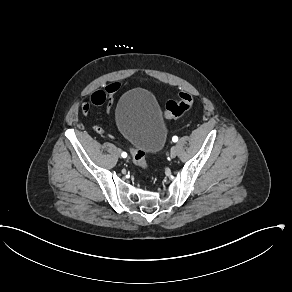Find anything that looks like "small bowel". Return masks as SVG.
<instances>
[{
    "label": "small bowel",
    "mask_w": 292,
    "mask_h": 292,
    "mask_svg": "<svg viewBox=\"0 0 292 292\" xmlns=\"http://www.w3.org/2000/svg\"><path fill=\"white\" fill-rule=\"evenodd\" d=\"M122 83L121 82H110V83H107L105 85V92L106 93H109L108 94V101L106 102V106H107V111L105 112V115L107 117H110L112 115V110L114 109V104H115V94H116V91H121L122 90Z\"/></svg>",
    "instance_id": "obj_1"
}]
</instances>
